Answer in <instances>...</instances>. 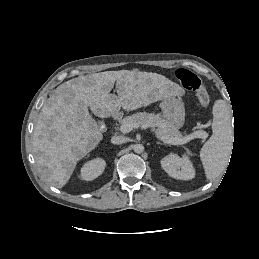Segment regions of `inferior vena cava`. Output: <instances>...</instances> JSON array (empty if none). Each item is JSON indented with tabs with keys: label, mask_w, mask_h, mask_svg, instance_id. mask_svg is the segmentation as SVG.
<instances>
[{
	"label": "inferior vena cava",
	"mask_w": 259,
	"mask_h": 259,
	"mask_svg": "<svg viewBox=\"0 0 259 259\" xmlns=\"http://www.w3.org/2000/svg\"><path fill=\"white\" fill-rule=\"evenodd\" d=\"M127 142V138L124 136H113L111 138V143L115 145H120Z\"/></svg>",
	"instance_id": "1"
}]
</instances>
